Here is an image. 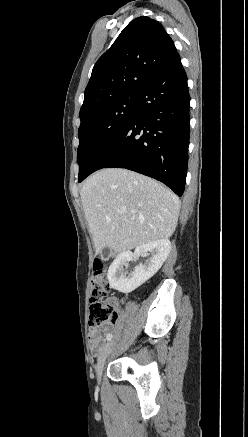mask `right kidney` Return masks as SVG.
Instances as JSON below:
<instances>
[{
	"label": "right kidney",
	"mask_w": 248,
	"mask_h": 437,
	"mask_svg": "<svg viewBox=\"0 0 248 437\" xmlns=\"http://www.w3.org/2000/svg\"><path fill=\"white\" fill-rule=\"evenodd\" d=\"M171 251V243L168 239L157 240L139 246L132 253L125 251L119 254L109 267L107 278L110 286L122 293H130L148 281L161 268ZM151 254L144 265L136 266L135 269L126 273L123 265L131 260H137L140 255Z\"/></svg>",
	"instance_id": "ca27d5eb"
}]
</instances>
